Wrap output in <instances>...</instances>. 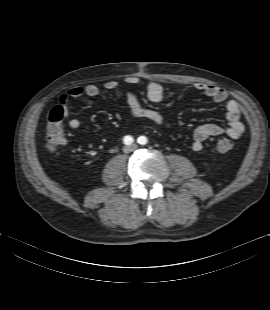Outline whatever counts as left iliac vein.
<instances>
[{"label": "left iliac vein", "mask_w": 270, "mask_h": 310, "mask_svg": "<svg viewBox=\"0 0 270 310\" xmlns=\"http://www.w3.org/2000/svg\"><path fill=\"white\" fill-rule=\"evenodd\" d=\"M132 147H133V148H136V146H135V145H133Z\"/></svg>", "instance_id": "left-iliac-vein-1"}]
</instances>
